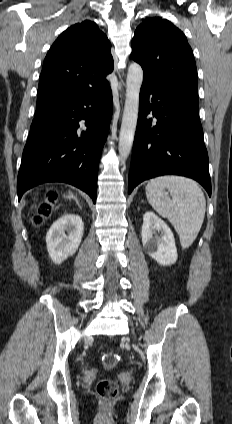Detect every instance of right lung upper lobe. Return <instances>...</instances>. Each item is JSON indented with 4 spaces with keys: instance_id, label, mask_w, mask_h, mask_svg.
Returning <instances> with one entry per match:
<instances>
[{
    "instance_id": "obj_1",
    "label": "right lung upper lobe",
    "mask_w": 232,
    "mask_h": 424,
    "mask_svg": "<svg viewBox=\"0 0 232 424\" xmlns=\"http://www.w3.org/2000/svg\"><path fill=\"white\" fill-rule=\"evenodd\" d=\"M111 44L91 21L65 30L48 51L37 92V106L86 98L109 87Z\"/></svg>"
}]
</instances>
